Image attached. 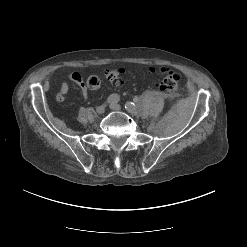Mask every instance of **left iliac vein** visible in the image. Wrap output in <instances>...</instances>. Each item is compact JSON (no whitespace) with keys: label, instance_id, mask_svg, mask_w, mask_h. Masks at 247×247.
Listing matches in <instances>:
<instances>
[{"label":"left iliac vein","instance_id":"1","mask_svg":"<svg viewBox=\"0 0 247 247\" xmlns=\"http://www.w3.org/2000/svg\"><path fill=\"white\" fill-rule=\"evenodd\" d=\"M110 109L114 110V111H120L121 110V106L119 104H110Z\"/></svg>","mask_w":247,"mask_h":247}]
</instances>
